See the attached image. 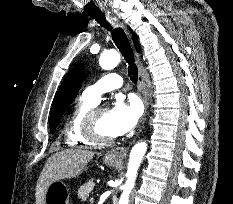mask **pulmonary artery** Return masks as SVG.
<instances>
[{
    "mask_svg": "<svg viewBox=\"0 0 233 204\" xmlns=\"http://www.w3.org/2000/svg\"><path fill=\"white\" fill-rule=\"evenodd\" d=\"M122 84L123 81L120 75L110 73L103 76L95 84L87 87L83 92V97L97 104L103 93L118 89L122 87Z\"/></svg>",
    "mask_w": 233,
    "mask_h": 204,
    "instance_id": "obj_1",
    "label": "pulmonary artery"
}]
</instances>
